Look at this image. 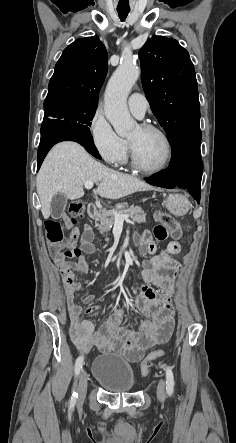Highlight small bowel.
<instances>
[{"label": "small bowel", "instance_id": "obj_1", "mask_svg": "<svg viewBox=\"0 0 236 443\" xmlns=\"http://www.w3.org/2000/svg\"><path fill=\"white\" fill-rule=\"evenodd\" d=\"M73 232L78 234L77 230ZM92 239V229L86 226L80 239L83 252L93 253L96 250ZM136 241L148 252L155 251L150 232L144 231ZM75 243L76 240H70L67 246H74ZM179 251L180 246L173 242L168 248L161 249L158 254L145 261L142 271L143 284L138 289L133 307L129 304H120L111 309L107 320L99 330H96L93 321L82 319L81 316L99 314L105 310L100 306H91L94 301L92 296H84L81 300L83 304L89 305L87 307L78 305L74 300L75 293L84 290V286L77 280L75 274L89 272V266L83 256H80L76 262H58L69 317L70 336L76 348L83 353H89L97 347L101 351L118 352L131 361H137L130 358V355L137 353L141 356L147 349L167 342L175 324L172 304L175 294L173 276L179 269V263L172 259L169 253L176 254ZM151 284L161 288L162 292L155 291ZM130 309H134L142 316L135 327L123 325L124 313Z\"/></svg>", "mask_w": 236, "mask_h": 443}]
</instances>
